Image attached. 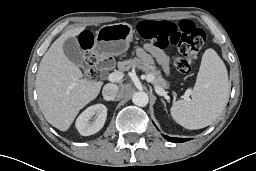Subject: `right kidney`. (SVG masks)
I'll return each instance as SVG.
<instances>
[{
	"mask_svg": "<svg viewBox=\"0 0 256 171\" xmlns=\"http://www.w3.org/2000/svg\"><path fill=\"white\" fill-rule=\"evenodd\" d=\"M93 121H90L93 118ZM107 108L103 104H96L83 111L76 120V128L83 136L97 133L104 126Z\"/></svg>",
	"mask_w": 256,
	"mask_h": 171,
	"instance_id": "right-kidney-1",
	"label": "right kidney"
}]
</instances>
